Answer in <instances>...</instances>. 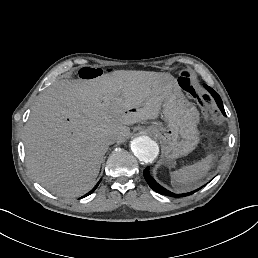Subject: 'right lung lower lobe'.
Segmentation results:
<instances>
[{
    "instance_id": "right-lung-lower-lobe-1",
    "label": "right lung lower lobe",
    "mask_w": 258,
    "mask_h": 258,
    "mask_svg": "<svg viewBox=\"0 0 258 258\" xmlns=\"http://www.w3.org/2000/svg\"><path fill=\"white\" fill-rule=\"evenodd\" d=\"M99 183H100V181L97 183V185H96L89 193H87L86 195H84V197L90 195V194L97 188V186L99 185Z\"/></svg>"
}]
</instances>
